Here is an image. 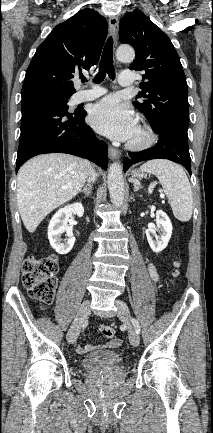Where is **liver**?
Returning <instances> with one entry per match:
<instances>
[{"label": "liver", "instance_id": "liver-1", "mask_svg": "<svg viewBox=\"0 0 213 433\" xmlns=\"http://www.w3.org/2000/svg\"><path fill=\"white\" fill-rule=\"evenodd\" d=\"M90 170L87 160L63 153L27 161L17 175V204L26 229L33 233L47 214L74 198Z\"/></svg>", "mask_w": 213, "mask_h": 433}]
</instances>
